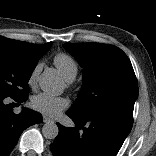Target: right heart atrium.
I'll list each match as a JSON object with an SVG mask.
<instances>
[{"mask_svg":"<svg viewBox=\"0 0 156 156\" xmlns=\"http://www.w3.org/2000/svg\"><path fill=\"white\" fill-rule=\"evenodd\" d=\"M41 69H42V64L39 62L31 70V72L28 76V80H27L29 86L34 87L37 84V78H38V75H39V72L41 71Z\"/></svg>","mask_w":156,"mask_h":156,"instance_id":"right-heart-atrium-1","label":"right heart atrium"}]
</instances>
